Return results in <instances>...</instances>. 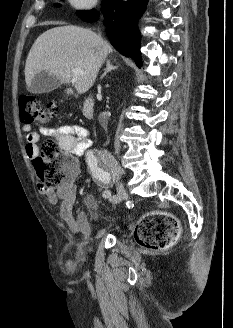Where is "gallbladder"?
<instances>
[{"mask_svg":"<svg viewBox=\"0 0 233 328\" xmlns=\"http://www.w3.org/2000/svg\"><path fill=\"white\" fill-rule=\"evenodd\" d=\"M60 86V81L47 71L37 73L27 89L35 94L48 93Z\"/></svg>","mask_w":233,"mask_h":328,"instance_id":"bac80fb5","label":"gallbladder"}]
</instances>
